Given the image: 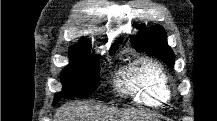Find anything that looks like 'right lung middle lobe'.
Segmentation results:
<instances>
[{
  "label": "right lung middle lobe",
  "mask_w": 217,
  "mask_h": 121,
  "mask_svg": "<svg viewBox=\"0 0 217 121\" xmlns=\"http://www.w3.org/2000/svg\"><path fill=\"white\" fill-rule=\"evenodd\" d=\"M88 49L89 45L70 49V63L61 73L63 90L55 95L54 104L61 97H84L97 89L99 55L88 53Z\"/></svg>",
  "instance_id": "dd1d6c3e"
}]
</instances>
